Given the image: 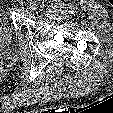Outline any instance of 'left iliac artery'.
Here are the masks:
<instances>
[{"instance_id":"44dca946","label":"left iliac artery","mask_w":113,"mask_h":113,"mask_svg":"<svg viewBox=\"0 0 113 113\" xmlns=\"http://www.w3.org/2000/svg\"><path fill=\"white\" fill-rule=\"evenodd\" d=\"M41 0H37V1H35V3H36V6H39L40 4H41V2H40Z\"/></svg>"}]
</instances>
